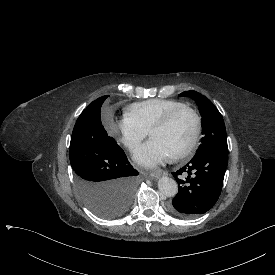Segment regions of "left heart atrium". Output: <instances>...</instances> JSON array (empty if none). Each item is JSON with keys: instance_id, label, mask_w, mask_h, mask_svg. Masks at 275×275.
<instances>
[{"instance_id": "left-heart-atrium-1", "label": "left heart atrium", "mask_w": 275, "mask_h": 275, "mask_svg": "<svg viewBox=\"0 0 275 275\" xmlns=\"http://www.w3.org/2000/svg\"><path fill=\"white\" fill-rule=\"evenodd\" d=\"M172 158L171 152L158 140L150 139L135 155L142 165L153 167L163 164Z\"/></svg>"}]
</instances>
